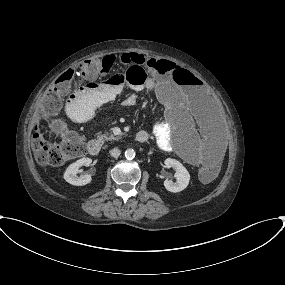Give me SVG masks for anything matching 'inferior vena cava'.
<instances>
[{"mask_svg":"<svg viewBox=\"0 0 285 285\" xmlns=\"http://www.w3.org/2000/svg\"><path fill=\"white\" fill-rule=\"evenodd\" d=\"M120 154L121 151L118 148H114L110 151V155L115 158L119 157Z\"/></svg>","mask_w":285,"mask_h":285,"instance_id":"obj_1","label":"inferior vena cava"}]
</instances>
